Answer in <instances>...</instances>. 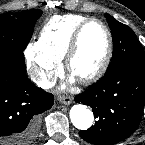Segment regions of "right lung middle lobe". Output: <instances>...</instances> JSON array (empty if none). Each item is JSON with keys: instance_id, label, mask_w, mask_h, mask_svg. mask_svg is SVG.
Wrapping results in <instances>:
<instances>
[{"instance_id": "1", "label": "right lung middle lobe", "mask_w": 145, "mask_h": 145, "mask_svg": "<svg viewBox=\"0 0 145 145\" xmlns=\"http://www.w3.org/2000/svg\"><path fill=\"white\" fill-rule=\"evenodd\" d=\"M41 14V10L32 9L0 15V53L23 52L31 39L34 25Z\"/></svg>"}]
</instances>
